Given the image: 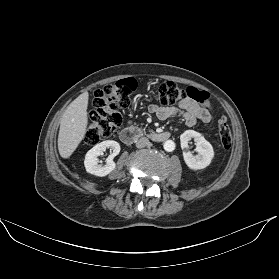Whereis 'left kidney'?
I'll return each instance as SVG.
<instances>
[{
  "instance_id": "obj_1",
  "label": "left kidney",
  "mask_w": 279,
  "mask_h": 279,
  "mask_svg": "<svg viewBox=\"0 0 279 279\" xmlns=\"http://www.w3.org/2000/svg\"><path fill=\"white\" fill-rule=\"evenodd\" d=\"M194 139L197 155L189 151V141ZM181 148L183 150V158L186 165L193 170L204 169L214 157L212 145L198 132L194 130H186L180 136Z\"/></svg>"
}]
</instances>
